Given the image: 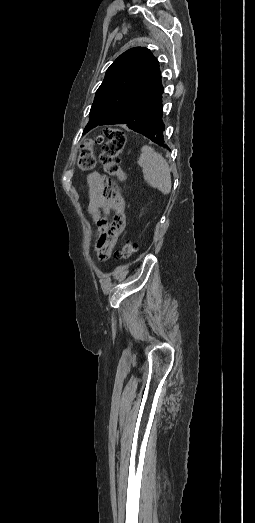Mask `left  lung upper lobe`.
Segmentation results:
<instances>
[{
	"instance_id": "1",
	"label": "left lung upper lobe",
	"mask_w": 255,
	"mask_h": 523,
	"mask_svg": "<svg viewBox=\"0 0 255 523\" xmlns=\"http://www.w3.org/2000/svg\"><path fill=\"white\" fill-rule=\"evenodd\" d=\"M162 94L158 60L147 48L127 50L108 68L83 134L98 125L126 124L134 131L156 125L165 118Z\"/></svg>"
}]
</instances>
